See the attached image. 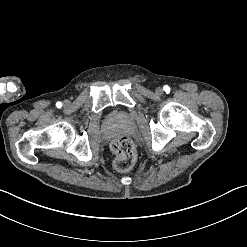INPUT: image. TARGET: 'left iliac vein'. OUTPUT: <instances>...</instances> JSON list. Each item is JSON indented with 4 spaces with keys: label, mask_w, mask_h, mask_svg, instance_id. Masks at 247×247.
<instances>
[{
    "label": "left iliac vein",
    "mask_w": 247,
    "mask_h": 247,
    "mask_svg": "<svg viewBox=\"0 0 247 247\" xmlns=\"http://www.w3.org/2000/svg\"><path fill=\"white\" fill-rule=\"evenodd\" d=\"M155 92L158 96H160L163 94V89L161 87H158Z\"/></svg>",
    "instance_id": "obj_1"
}]
</instances>
